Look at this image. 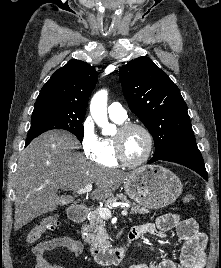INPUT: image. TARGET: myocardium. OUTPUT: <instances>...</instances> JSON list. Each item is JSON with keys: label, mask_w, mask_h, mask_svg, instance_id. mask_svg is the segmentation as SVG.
I'll list each match as a JSON object with an SVG mask.
<instances>
[{"label": "myocardium", "mask_w": 221, "mask_h": 268, "mask_svg": "<svg viewBox=\"0 0 221 268\" xmlns=\"http://www.w3.org/2000/svg\"><path fill=\"white\" fill-rule=\"evenodd\" d=\"M130 129H139L146 135L147 138V149L145 154L136 161L127 159L123 153L122 148V135ZM115 157L117 161L127 167H137L144 164L151 156L154 149V137L151 131L143 124L137 122H126L120 125L117 134L113 137Z\"/></svg>", "instance_id": "f54148a6"}]
</instances>
